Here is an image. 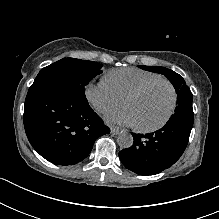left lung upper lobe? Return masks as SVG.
<instances>
[{"mask_svg":"<svg viewBox=\"0 0 219 219\" xmlns=\"http://www.w3.org/2000/svg\"><path fill=\"white\" fill-rule=\"evenodd\" d=\"M143 70L156 72L165 75V77L173 84L177 93V104L175 113L172 117H194L192 108V94L186 85L183 77L174 71L160 66H139Z\"/></svg>","mask_w":219,"mask_h":219,"instance_id":"1","label":"left lung upper lobe"}]
</instances>
